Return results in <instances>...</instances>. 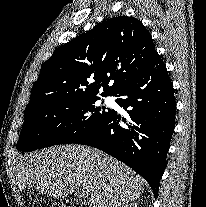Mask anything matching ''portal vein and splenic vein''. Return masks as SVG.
Wrapping results in <instances>:
<instances>
[{"instance_id": "portal-vein-and-splenic-vein-1", "label": "portal vein and splenic vein", "mask_w": 206, "mask_h": 207, "mask_svg": "<svg viewBox=\"0 0 206 207\" xmlns=\"http://www.w3.org/2000/svg\"><path fill=\"white\" fill-rule=\"evenodd\" d=\"M76 194L80 197V198H85L86 197V193L84 191L81 190H76Z\"/></svg>"}]
</instances>
